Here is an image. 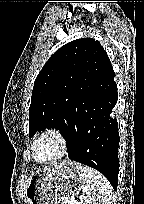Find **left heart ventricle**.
Masks as SVG:
<instances>
[{"instance_id": "1", "label": "left heart ventricle", "mask_w": 144, "mask_h": 204, "mask_svg": "<svg viewBox=\"0 0 144 204\" xmlns=\"http://www.w3.org/2000/svg\"><path fill=\"white\" fill-rule=\"evenodd\" d=\"M60 145L58 141L51 136L41 139L36 146V156L40 161H48L58 155Z\"/></svg>"}]
</instances>
